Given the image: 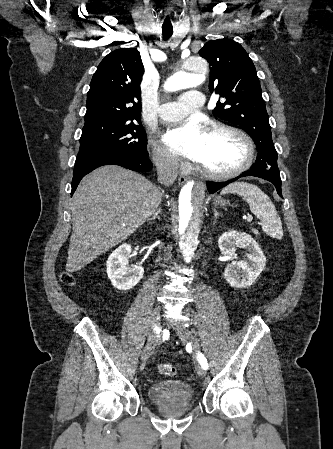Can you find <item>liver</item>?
I'll return each instance as SVG.
<instances>
[{"label":"liver","instance_id":"liver-1","mask_svg":"<svg viewBox=\"0 0 333 449\" xmlns=\"http://www.w3.org/2000/svg\"><path fill=\"white\" fill-rule=\"evenodd\" d=\"M148 179L117 165L85 176L72 197L67 267L80 270L134 233L161 203Z\"/></svg>","mask_w":333,"mask_h":449}]
</instances>
